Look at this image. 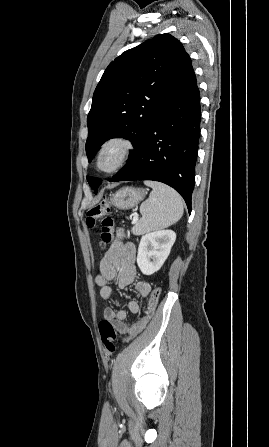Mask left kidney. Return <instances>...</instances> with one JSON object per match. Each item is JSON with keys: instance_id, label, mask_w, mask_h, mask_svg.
<instances>
[{"instance_id": "obj_1", "label": "left kidney", "mask_w": 269, "mask_h": 447, "mask_svg": "<svg viewBox=\"0 0 269 447\" xmlns=\"http://www.w3.org/2000/svg\"><path fill=\"white\" fill-rule=\"evenodd\" d=\"M175 239L176 233L172 229H160L142 235L137 253V263L142 273L151 275L160 269Z\"/></svg>"}]
</instances>
